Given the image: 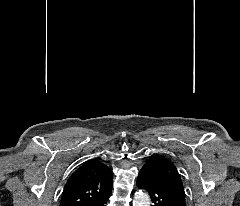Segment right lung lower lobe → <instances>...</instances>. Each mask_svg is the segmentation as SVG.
I'll return each mask as SVG.
<instances>
[{
    "mask_svg": "<svg viewBox=\"0 0 240 206\" xmlns=\"http://www.w3.org/2000/svg\"><path fill=\"white\" fill-rule=\"evenodd\" d=\"M110 194H111V192L109 194L97 199L96 201L88 204L87 206H105V204L107 203V200L110 197Z\"/></svg>",
    "mask_w": 240,
    "mask_h": 206,
    "instance_id": "1",
    "label": "right lung lower lobe"
}]
</instances>
